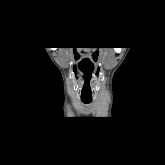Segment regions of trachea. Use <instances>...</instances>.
<instances>
[{
	"label": "trachea",
	"mask_w": 165,
	"mask_h": 165,
	"mask_svg": "<svg viewBox=\"0 0 165 165\" xmlns=\"http://www.w3.org/2000/svg\"><path fill=\"white\" fill-rule=\"evenodd\" d=\"M82 102H83L84 104H89V103H91V100H83V99H82Z\"/></svg>",
	"instance_id": "trachea-1"
}]
</instances>
